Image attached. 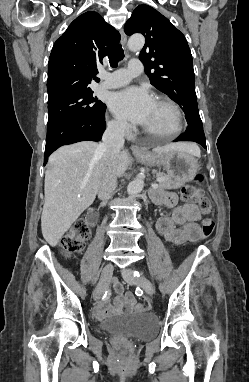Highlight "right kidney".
<instances>
[{
  "mask_svg": "<svg viewBox=\"0 0 249 382\" xmlns=\"http://www.w3.org/2000/svg\"><path fill=\"white\" fill-rule=\"evenodd\" d=\"M98 210L96 207H91L89 213L86 214V219L88 220V226L91 230L96 228L95 224H98Z\"/></svg>",
  "mask_w": 249,
  "mask_h": 382,
  "instance_id": "ca27d5eb",
  "label": "right kidney"
}]
</instances>
